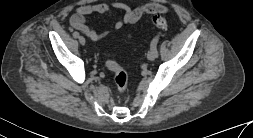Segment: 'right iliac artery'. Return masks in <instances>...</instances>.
<instances>
[{
	"label": "right iliac artery",
	"mask_w": 253,
	"mask_h": 138,
	"mask_svg": "<svg viewBox=\"0 0 253 138\" xmlns=\"http://www.w3.org/2000/svg\"><path fill=\"white\" fill-rule=\"evenodd\" d=\"M73 36H74L75 38H78V37H79V33L75 31V32L73 33Z\"/></svg>",
	"instance_id": "right-iliac-artery-1"
}]
</instances>
